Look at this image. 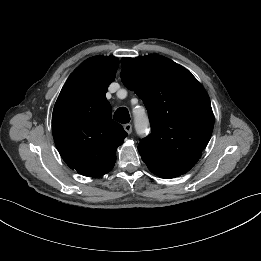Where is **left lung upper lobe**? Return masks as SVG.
I'll return each mask as SVG.
<instances>
[{
  "label": "left lung upper lobe",
  "instance_id": "1",
  "mask_svg": "<svg viewBox=\"0 0 261 261\" xmlns=\"http://www.w3.org/2000/svg\"><path fill=\"white\" fill-rule=\"evenodd\" d=\"M121 79L148 111L152 133L138 151L150 171L188 172L201 157L214 126L209 96L184 67L158 54L121 59Z\"/></svg>",
  "mask_w": 261,
  "mask_h": 261
}]
</instances>
